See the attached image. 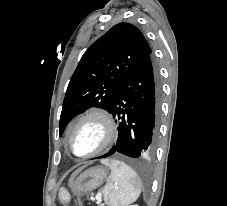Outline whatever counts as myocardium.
<instances>
[{
  "label": "myocardium",
  "mask_w": 227,
  "mask_h": 206,
  "mask_svg": "<svg viewBox=\"0 0 227 206\" xmlns=\"http://www.w3.org/2000/svg\"><path fill=\"white\" fill-rule=\"evenodd\" d=\"M91 119H95L101 123L104 131L102 141L98 145V147L95 148L93 151L82 155L76 154L73 152L71 148L72 134L83 122ZM116 135H117V128L112 114L105 108L95 107V108L89 109L84 114H82L72 125L67 135L66 144H67L68 150L74 156L78 158H89V157L98 155L99 153L107 149L115 141Z\"/></svg>",
  "instance_id": "1"
}]
</instances>
